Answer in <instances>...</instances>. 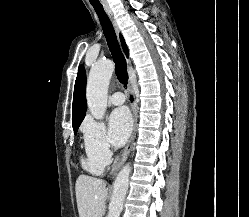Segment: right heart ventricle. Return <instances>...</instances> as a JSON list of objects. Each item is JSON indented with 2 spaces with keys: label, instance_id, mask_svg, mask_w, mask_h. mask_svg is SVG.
<instances>
[{
  "label": "right heart ventricle",
  "instance_id": "1",
  "mask_svg": "<svg viewBox=\"0 0 249 217\" xmlns=\"http://www.w3.org/2000/svg\"><path fill=\"white\" fill-rule=\"evenodd\" d=\"M82 165L87 171L91 172L92 174H100L103 169V166L99 165L90 158L88 159L83 158Z\"/></svg>",
  "mask_w": 249,
  "mask_h": 217
}]
</instances>
